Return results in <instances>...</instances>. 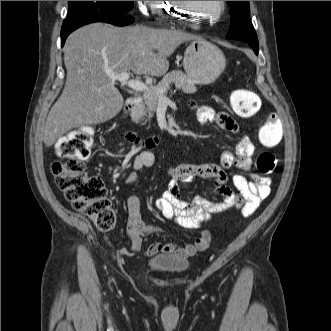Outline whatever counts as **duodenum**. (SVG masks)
<instances>
[{
  "label": "duodenum",
  "instance_id": "obj_1",
  "mask_svg": "<svg viewBox=\"0 0 331 331\" xmlns=\"http://www.w3.org/2000/svg\"><path fill=\"white\" fill-rule=\"evenodd\" d=\"M138 103H139L138 98L131 97L127 101L124 107L123 117L126 118L137 107ZM125 138L133 147H139L142 145L152 146L158 140L157 137L149 138V139H141L139 136H137L134 132L131 131L125 133Z\"/></svg>",
  "mask_w": 331,
  "mask_h": 331
}]
</instances>
